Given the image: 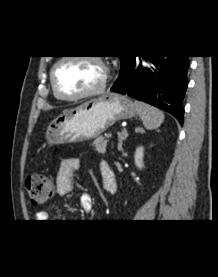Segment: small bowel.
Returning a JSON list of instances; mask_svg holds the SVG:
<instances>
[{"mask_svg":"<svg viewBox=\"0 0 218 277\" xmlns=\"http://www.w3.org/2000/svg\"><path fill=\"white\" fill-rule=\"evenodd\" d=\"M79 168H80V161L77 158H65L61 161L59 170L56 176V194L58 196H65L70 192L71 186H72V177ZM100 172H101V168H100ZM111 174H113L112 170H111ZM101 177H102V174H101ZM102 183H103V188L106 191L113 190L114 185L105 184L103 177H102ZM80 204L85 211H90L93 206L91 195L88 193L81 194ZM35 218L37 222H45V220L48 219V214L46 211L40 210L36 212Z\"/></svg>","mask_w":218,"mask_h":277,"instance_id":"1","label":"small bowel"}]
</instances>
